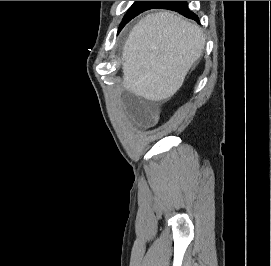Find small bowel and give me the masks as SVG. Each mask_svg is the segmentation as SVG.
Returning a JSON list of instances; mask_svg holds the SVG:
<instances>
[{
    "label": "small bowel",
    "mask_w": 271,
    "mask_h": 266,
    "mask_svg": "<svg viewBox=\"0 0 271 266\" xmlns=\"http://www.w3.org/2000/svg\"><path fill=\"white\" fill-rule=\"evenodd\" d=\"M124 101L128 110L139 122L147 125L155 122L159 109L157 102H143L129 96H125Z\"/></svg>",
    "instance_id": "obj_1"
}]
</instances>
